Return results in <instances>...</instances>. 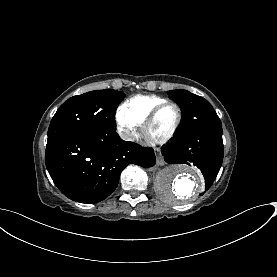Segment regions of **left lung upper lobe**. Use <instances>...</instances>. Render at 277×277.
<instances>
[{
  "instance_id": "obj_1",
  "label": "left lung upper lobe",
  "mask_w": 277,
  "mask_h": 277,
  "mask_svg": "<svg viewBox=\"0 0 277 277\" xmlns=\"http://www.w3.org/2000/svg\"><path fill=\"white\" fill-rule=\"evenodd\" d=\"M169 97L180 107L183 123L179 134H187L206 127H221L213 107L204 98L187 90H171Z\"/></svg>"
}]
</instances>
